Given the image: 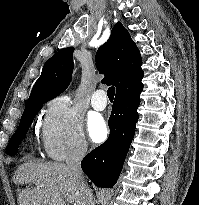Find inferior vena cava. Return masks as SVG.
I'll return each mask as SVG.
<instances>
[{
	"label": "inferior vena cava",
	"mask_w": 199,
	"mask_h": 205,
	"mask_svg": "<svg viewBox=\"0 0 199 205\" xmlns=\"http://www.w3.org/2000/svg\"><path fill=\"white\" fill-rule=\"evenodd\" d=\"M87 153V146L81 144L76 149H74L66 159V165L68 169L72 172L76 180L79 182L81 190L85 195V205H93V196L91 190L85 183L83 172L81 170V160Z\"/></svg>",
	"instance_id": "1"
}]
</instances>
